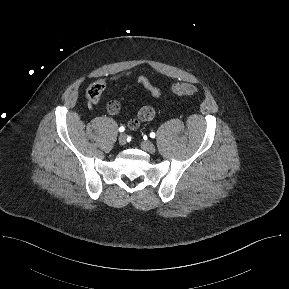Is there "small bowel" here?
Here are the masks:
<instances>
[{
	"instance_id": "small-bowel-1",
	"label": "small bowel",
	"mask_w": 289,
	"mask_h": 289,
	"mask_svg": "<svg viewBox=\"0 0 289 289\" xmlns=\"http://www.w3.org/2000/svg\"><path fill=\"white\" fill-rule=\"evenodd\" d=\"M125 77L132 76V73H126L124 75ZM136 81L139 85H141L144 89H146L153 97L157 98L162 95V91L157 86L153 85L148 77L145 75H139L136 78ZM111 106L113 109H111ZM119 104L116 101H111L107 105V111L111 115H116L119 112ZM155 116V109L152 106H143L139 109L137 112L136 117L130 119L127 123V126L130 130H136L141 123L148 122L152 120Z\"/></svg>"
}]
</instances>
